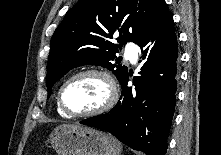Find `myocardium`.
I'll return each mask as SVG.
<instances>
[{
	"instance_id": "myocardium-1",
	"label": "myocardium",
	"mask_w": 221,
	"mask_h": 155,
	"mask_svg": "<svg viewBox=\"0 0 221 155\" xmlns=\"http://www.w3.org/2000/svg\"><path fill=\"white\" fill-rule=\"evenodd\" d=\"M87 75H95L104 80L107 86V98L101 106H99L98 108L94 110L81 112V113L73 112L69 110L64 103V100H63L64 90L68 86V84L71 83L73 80L82 76H87ZM117 99H118V89H117L114 78L107 71L103 69L87 68V69H82L80 71L75 72L63 82L58 92L57 103L59 107L61 108V110L66 115L70 117L85 118V117L99 116L108 112L116 104Z\"/></svg>"
}]
</instances>
